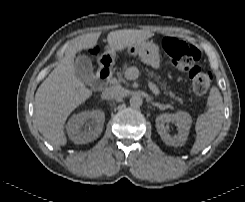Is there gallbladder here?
Instances as JSON below:
<instances>
[{"label":"gallbladder","mask_w":245,"mask_h":202,"mask_svg":"<svg viewBox=\"0 0 245 202\" xmlns=\"http://www.w3.org/2000/svg\"><path fill=\"white\" fill-rule=\"evenodd\" d=\"M74 72L76 77L84 83L94 80L93 65L87 55H78L74 62Z\"/></svg>","instance_id":"gallbladder-1"}]
</instances>
